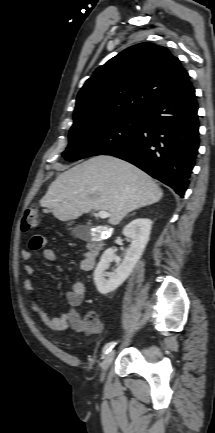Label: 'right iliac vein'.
<instances>
[{
	"label": "right iliac vein",
	"instance_id": "1",
	"mask_svg": "<svg viewBox=\"0 0 215 433\" xmlns=\"http://www.w3.org/2000/svg\"><path fill=\"white\" fill-rule=\"evenodd\" d=\"M115 357V350H111L107 355L105 356L103 362H102V373H101V379H104L105 373L109 366L111 365L113 359Z\"/></svg>",
	"mask_w": 215,
	"mask_h": 433
}]
</instances>
